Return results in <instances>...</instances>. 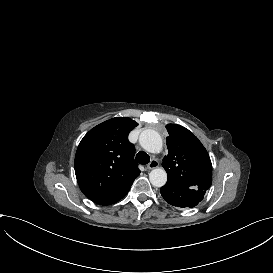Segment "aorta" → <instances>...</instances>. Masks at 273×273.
Returning <instances> with one entry per match:
<instances>
[{
  "mask_svg": "<svg viewBox=\"0 0 273 273\" xmlns=\"http://www.w3.org/2000/svg\"><path fill=\"white\" fill-rule=\"evenodd\" d=\"M139 142L142 148L150 153H159L163 142L158 132L147 129L141 132ZM150 182L155 187H162L167 182V173L163 168L153 169L149 174Z\"/></svg>",
  "mask_w": 273,
  "mask_h": 273,
  "instance_id": "762f6f07",
  "label": "aorta"
}]
</instances>
